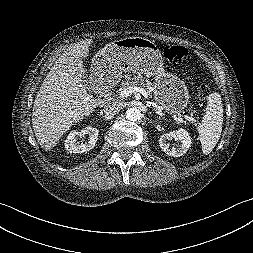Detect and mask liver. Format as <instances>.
<instances>
[{"label":"liver","instance_id":"liver-1","mask_svg":"<svg viewBox=\"0 0 253 253\" xmlns=\"http://www.w3.org/2000/svg\"><path fill=\"white\" fill-rule=\"evenodd\" d=\"M93 40L70 45L58 58L37 92L32 127L40 146L52 149L73 124L89 116L99 98L87 93L82 59L89 54Z\"/></svg>","mask_w":253,"mask_h":253}]
</instances>
